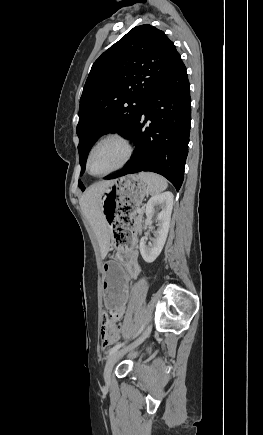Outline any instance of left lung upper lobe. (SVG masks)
<instances>
[{
	"instance_id": "left-lung-upper-lobe-1",
	"label": "left lung upper lobe",
	"mask_w": 263,
	"mask_h": 435,
	"mask_svg": "<svg viewBox=\"0 0 263 435\" xmlns=\"http://www.w3.org/2000/svg\"><path fill=\"white\" fill-rule=\"evenodd\" d=\"M181 61L172 41L149 25L134 27L93 64L80 99L79 162L105 133L129 137L151 93ZM79 188L85 186L79 181Z\"/></svg>"
}]
</instances>
